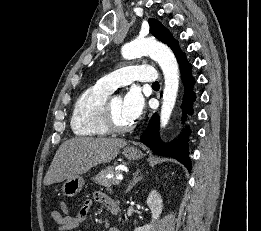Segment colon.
<instances>
[{
  "instance_id": "obj_1",
  "label": "colon",
  "mask_w": 261,
  "mask_h": 231,
  "mask_svg": "<svg viewBox=\"0 0 261 231\" xmlns=\"http://www.w3.org/2000/svg\"><path fill=\"white\" fill-rule=\"evenodd\" d=\"M61 210H62L63 212H67V211H68V206H67L65 203H63V204L61 205Z\"/></svg>"
}]
</instances>
